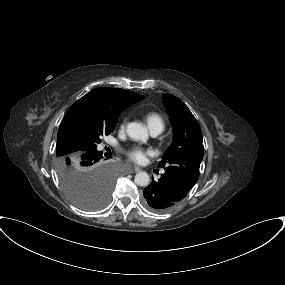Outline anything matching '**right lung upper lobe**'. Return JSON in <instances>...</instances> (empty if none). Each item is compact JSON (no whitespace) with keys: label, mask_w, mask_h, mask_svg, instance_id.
<instances>
[{"label":"right lung upper lobe","mask_w":285,"mask_h":285,"mask_svg":"<svg viewBox=\"0 0 285 285\" xmlns=\"http://www.w3.org/2000/svg\"><path fill=\"white\" fill-rule=\"evenodd\" d=\"M144 96L136 92L120 88H97L78 101L66 112L58 131L57 143L67 134L77 122L99 120L104 123L114 122L119 118L122 109L140 101ZM125 110V109H124Z\"/></svg>","instance_id":"1"}]
</instances>
